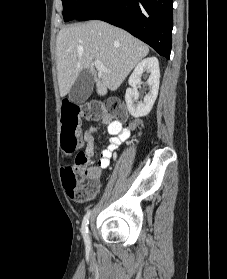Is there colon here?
Wrapping results in <instances>:
<instances>
[{
  "label": "colon",
  "mask_w": 227,
  "mask_h": 279,
  "mask_svg": "<svg viewBox=\"0 0 227 279\" xmlns=\"http://www.w3.org/2000/svg\"><path fill=\"white\" fill-rule=\"evenodd\" d=\"M106 109L115 122L114 128L117 129L125 116V110L119 101H112L107 107L99 104L78 105L71 102L63 104L60 131L61 149L65 155H73L80 143V135L76 131L79 121L104 117ZM72 162L73 165L66 167L63 171V183L66 191L71 193L76 201L82 203L96 192L97 186L93 180L88 181L84 177L82 167L88 163V156L85 152L75 153Z\"/></svg>",
  "instance_id": "1"
}]
</instances>
